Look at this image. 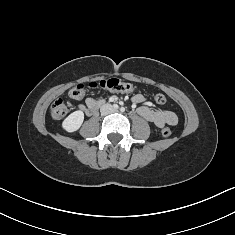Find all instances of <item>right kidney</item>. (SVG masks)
Returning <instances> with one entry per match:
<instances>
[{
	"label": "right kidney",
	"mask_w": 235,
	"mask_h": 235,
	"mask_svg": "<svg viewBox=\"0 0 235 235\" xmlns=\"http://www.w3.org/2000/svg\"><path fill=\"white\" fill-rule=\"evenodd\" d=\"M84 120V113L80 110L71 113L62 123V127L67 132L77 131Z\"/></svg>",
	"instance_id": "right-kidney-1"
}]
</instances>
